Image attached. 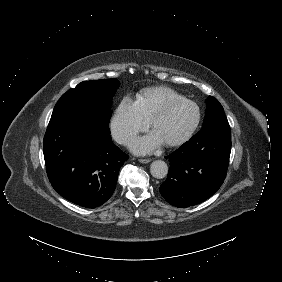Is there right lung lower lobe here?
<instances>
[{
    "instance_id": "98d812e1",
    "label": "right lung lower lobe",
    "mask_w": 282,
    "mask_h": 282,
    "mask_svg": "<svg viewBox=\"0 0 282 282\" xmlns=\"http://www.w3.org/2000/svg\"><path fill=\"white\" fill-rule=\"evenodd\" d=\"M106 121L84 108L51 116L44 136V158L53 188L67 200L95 208L113 194L128 155L115 146Z\"/></svg>"
}]
</instances>
